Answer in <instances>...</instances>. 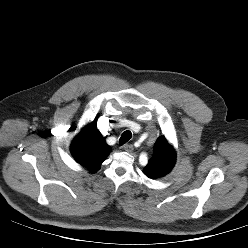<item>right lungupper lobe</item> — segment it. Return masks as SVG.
Listing matches in <instances>:
<instances>
[{
    "label": "right lung upper lobe",
    "instance_id": "cb5924a9",
    "mask_svg": "<svg viewBox=\"0 0 248 248\" xmlns=\"http://www.w3.org/2000/svg\"><path fill=\"white\" fill-rule=\"evenodd\" d=\"M110 152L111 148L105 143L95 120L75 137L71 145L75 160L90 172L97 171Z\"/></svg>",
    "mask_w": 248,
    "mask_h": 248
}]
</instances>
